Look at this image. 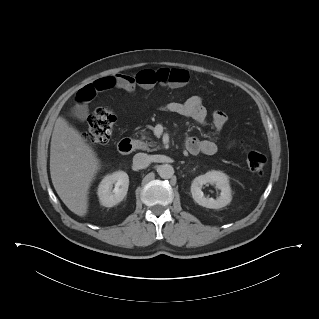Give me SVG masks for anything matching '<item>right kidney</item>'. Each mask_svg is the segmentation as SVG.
Instances as JSON below:
<instances>
[{"label":"right kidney","mask_w":319,"mask_h":319,"mask_svg":"<svg viewBox=\"0 0 319 319\" xmlns=\"http://www.w3.org/2000/svg\"><path fill=\"white\" fill-rule=\"evenodd\" d=\"M129 177L124 171H116L106 175L98 186L100 204L113 207L121 202L127 194ZM114 187V188H113Z\"/></svg>","instance_id":"1"}]
</instances>
